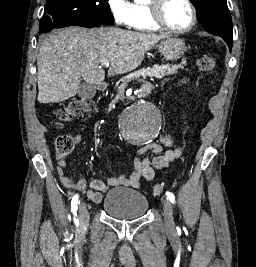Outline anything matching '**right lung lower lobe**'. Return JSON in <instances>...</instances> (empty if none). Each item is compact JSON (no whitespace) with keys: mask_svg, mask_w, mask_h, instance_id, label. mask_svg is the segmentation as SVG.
I'll return each instance as SVG.
<instances>
[{"mask_svg":"<svg viewBox=\"0 0 256 267\" xmlns=\"http://www.w3.org/2000/svg\"><path fill=\"white\" fill-rule=\"evenodd\" d=\"M75 26H83V27H96L97 25H75Z\"/></svg>","mask_w":256,"mask_h":267,"instance_id":"98d812e1","label":"right lung lower lobe"}]
</instances>
